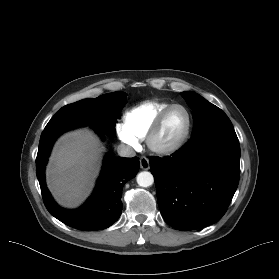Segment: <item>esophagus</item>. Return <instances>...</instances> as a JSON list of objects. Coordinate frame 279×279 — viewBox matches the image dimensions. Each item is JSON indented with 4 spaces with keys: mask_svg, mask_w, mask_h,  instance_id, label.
Returning <instances> with one entry per match:
<instances>
[{
    "mask_svg": "<svg viewBox=\"0 0 279 279\" xmlns=\"http://www.w3.org/2000/svg\"><path fill=\"white\" fill-rule=\"evenodd\" d=\"M140 167L143 170H148L150 167L149 159L146 157H141L140 159Z\"/></svg>",
    "mask_w": 279,
    "mask_h": 279,
    "instance_id": "obj_1",
    "label": "esophagus"
}]
</instances>
